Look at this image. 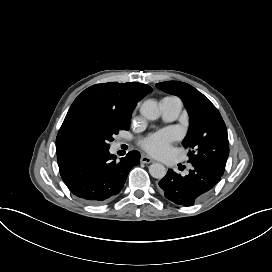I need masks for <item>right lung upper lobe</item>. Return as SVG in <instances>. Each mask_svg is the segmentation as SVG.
<instances>
[{"mask_svg":"<svg viewBox=\"0 0 272 272\" xmlns=\"http://www.w3.org/2000/svg\"><path fill=\"white\" fill-rule=\"evenodd\" d=\"M152 92L148 85L128 83L96 84L84 90L71 105L56 138V149L60 148L64 135L84 114L110 118L130 127L131 113L138 101Z\"/></svg>","mask_w":272,"mask_h":272,"instance_id":"cb5924a9","label":"right lung upper lobe"}]
</instances>
